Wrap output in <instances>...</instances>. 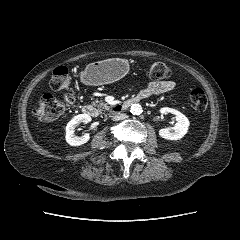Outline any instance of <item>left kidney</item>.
<instances>
[{"mask_svg": "<svg viewBox=\"0 0 240 240\" xmlns=\"http://www.w3.org/2000/svg\"><path fill=\"white\" fill-rule=\"evenodd\" d=\"M161 114L171 113L175 115L177 123L173 128H162L159 130V135L167 140L181 139L188 131L190 122L188 118L176 109L164 107L160 110ZM173 129V131L171 130ZM172 131V132H171Z\"/></svg>", "mask_w": 240, "mask_h": 240, "instance_id": "5707ae66", "label": "left kidney"}]
</instances>
